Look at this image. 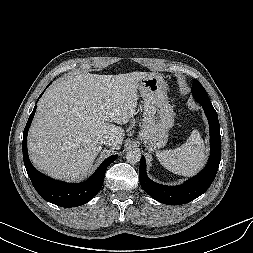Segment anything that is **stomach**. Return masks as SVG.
<instances>
[{
    "label": "stomach",
    "instance_id": "stomach-1",
    "mask_svg": "<svg viewBox=\"0 0 253 253\" xmlns=\"http://www.w3.org/2000/svg\"><path fill=\"white\" fill-rule=\"evenodd\" d=\"M167 86L159 74L148 75L139 83L144 104V118L139 137L151 151L167 143L169 130L174 126V112L168 101Z\"/></svg>",
    "mask_w": 253,
    "mask_h": 253
}]
</instances>
